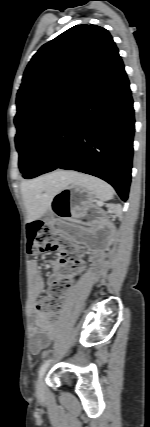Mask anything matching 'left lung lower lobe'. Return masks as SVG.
<instances>
[{
  "instance_id": "left-lung-lower-lobe-1",
  "label": "left lung lower lobe",
  "mask_w": 150,
  "mask_h": 427,
  "mask_svg": "<svg viewBox=\"0 0 150 427\" xmlns=\"http://www.w3.org/2000/svg\"><path fill=\"white\" fill-rule=\"evenodd\" d=\"M134 123L129 81L117 53L60 115L23 177L34 178L58 168L76 170L107 181L126 201Z\"/></svg>"
}]
</instances>
